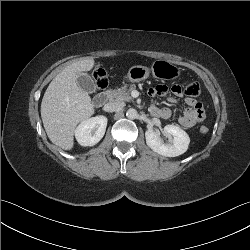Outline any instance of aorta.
Returning a JSON list of instances; mask_svg holds the SVG:
<instances>
[{"mask_svg": "<svg viewBox=\"0 0 250 250\" xmlns=\"http://www.w3.org/2000/svg\"><path fill=\"white\" fill-rule=\"evenodd\" d=\"M126 116L129 118V119H136L137 116H138V113H137V110L134 109V108H129L126 112Z\"/></svg>", "mask_w": 250, "mask_h": 250, "instance_id": "1", "label": "aorta"}]
</instances>
